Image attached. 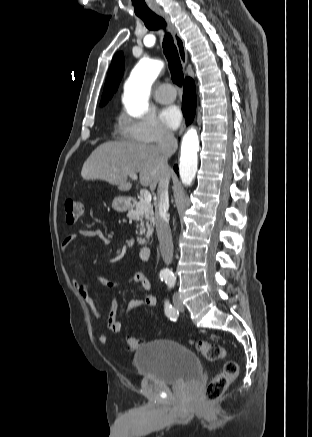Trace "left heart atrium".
I'll list each match as a JSON object with an SVG mask.
<instances>
[{"label": "left heart atrium", "mask_w": 312, "mask_h": 437, "mask_svg": "<svg viewBox=\"0 0 312 437\" xmlns=\"http://www.w3.org/2000/svg\"><path fill=\"white\" fill-rule=\"evenodd\" d=\"M160 118L168 128L176 129L181 123L182 115L177 106L171 105L161 111Z\"/></svg>", "instance_id": "39dd6f15"}]
</instances>
